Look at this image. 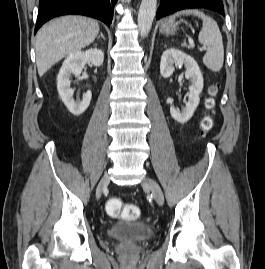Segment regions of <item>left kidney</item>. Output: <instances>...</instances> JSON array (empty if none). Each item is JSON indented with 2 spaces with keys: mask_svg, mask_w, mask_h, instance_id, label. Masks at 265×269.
I'll list each match as a JSON object with an SVG mask.
<instances>
[{
  "mask_svg": "<svg viewBox=\"0 0 265 269\" xmlns=\"http://www.w3.org/2000/svg\"><path fill=\"white\" fill-rule=\"evenodd\" d=\"M174 65L186 68L185 78L191 81L188 93V102L181 111L170 107L172 118L179 123H186L194 114L200 101V94L203 90V76L196 61L186 53L175 49H166L161 57L160 73L164 78H168L173 74Z\"/></svg>",
  "mask_w": 265,
  "mask_h": 269,
  "instance_id": "obj_1",
  "label": "left kidney"
}]
</instances>
